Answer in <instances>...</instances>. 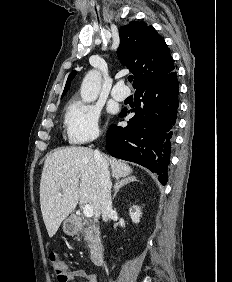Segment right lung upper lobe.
Returning a JSON list of instances; mask_svg holds the SVG:
<instances>
[{
    "label": "right lung upper lobe",
    "instance_id": "obj_1",
    "mask_svg": "<svg viewBox=\"0 0 232 282\" xmlns=\"http://www.w3.org/2000/svg\"><path fill=\"white\" fill-rule=\"evenodd\" d=\"M120 45L117 55L121 63L134 74V88L151 80L163 77L174 70L170 51L152 26L144 22L132 21L119 30ZM72 71L67 79L62 96L70 87V81L75 77Z\"/></svg>",
    "mask_w": 232,
    "mask_h": 282
}]
</instances>
